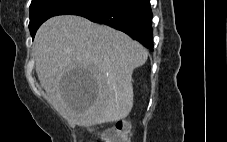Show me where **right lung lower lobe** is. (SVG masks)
<instances>
[{"mask_svg":"<svg viewBox=\"0 0 227 142\" xmlns=\"http://www.w3.org/2000/svg\"><path fill=\"white\" fill-rule=\"evenodd\" d=\"M78 15L118 29L153 50L150 0H109Z\"/></svg>","mask_w":227,"mask_h":142,"instance_id":"98d812e1","label":"right lung lower lobe"}]
</instances>
